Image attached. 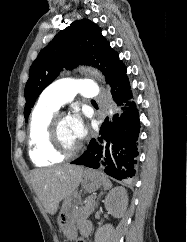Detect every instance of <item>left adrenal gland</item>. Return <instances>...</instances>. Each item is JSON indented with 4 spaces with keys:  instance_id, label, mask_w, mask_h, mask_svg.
<instances>
[{
    "instance_id": "left-adrenal-gland-1",
    "label": "left adrenal gland",
    "mask_w": 187,
    "mask_h": 242,
    "mask_svg": "<svg viewBox=\"0 0 187 242\" xmlns=\"http://www.w3.org/2000/svg\"><path fill=\"white\" fill-rule=\"evenodd\" d=\"M101 195H103V193H101L98 198H97V205H98V199L101 197Z\"/></svg>"
}]
</instances>
